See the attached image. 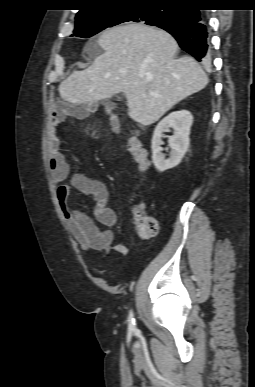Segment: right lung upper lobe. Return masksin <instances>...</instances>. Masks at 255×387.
I'll return each instance as SVG.
<instances>
[{"instance_id": "right-lung-upper-lobe-1", "label": "right lung upper lobe", "mask_w": 255, "mask_h": 387, "mask_svg": "<svg viewBox=\"0 0 255 387\" xmlns=\"http://www.w3.org/2000/svg\"><path fill=\"white\" fill-rule=\"evenodd\" d=\"M198 0H82V9L76 15V20L95 13L123 6H162L182 7L195 4Z\"/></svg>"}]
</instances>
